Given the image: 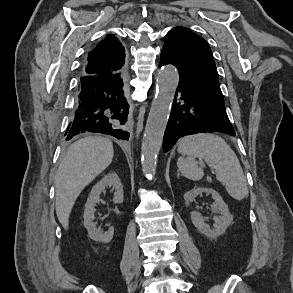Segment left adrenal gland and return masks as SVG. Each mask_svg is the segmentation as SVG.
I'll use <instances>...</instances> for the list:
<instances>
[{
    "mask_svg": "<svg viewBox=\"0 0 293 293\" xmlns=\"http://www.w3.org/2000/svg\"><path fill=\"white\" fill-rule=\"evenodd\" d=\"M180 177V173H179V171H177V178H179Z\"/></svg>",
    "mask_w": 293,
    "mask_h": 293,
    "instance_id": "left-adrenal-gland-1",
    "label": "left adrenal gland"
}]
</instances>
